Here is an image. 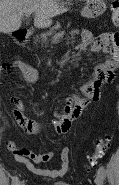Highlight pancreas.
I'll return each instance as SVG.
<instances>
[{
	"label": "pancreas",
	"instance_id": "cf45deb5",
	"mask_svg": "<svg viewBox=\"0 0 119 185\" xmlns=\"http://www.w3.org/2000/svg\"><path fill=\"white\" fill-rule=\"evenodd\" d=\"M76 33H78L77 30H74V31L71 32L72 35H73V34H76ZM54 35H55V32H53V31L46 32V33L42 34L39 38H37V39L35 40V42L46 43L47 40H48V38L54 37Z\"/></svg>",
	"mask_w": 119,
	"mask_h": 185
}]
</instances>
